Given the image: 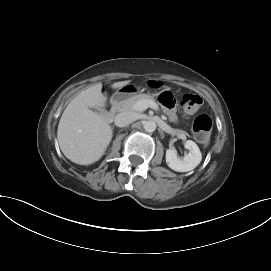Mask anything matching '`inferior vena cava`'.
<instances>
[{
	"label": "inferior vena cava",
	"instance_id": "obj_1",
	"mask_svg": "<svg viewBox=\"0 0 271 271\" xmlns=\"http://www.w3.org/2000/svg\"><path fill=\"white\" fill-rule=\"evenodd\" d=\"M136 120V116L132 112H121L115 117V124L118 127H125Z\"/></svg>",
	"mask_w": 271,
	"mask_h": 271
}]
</instances>
